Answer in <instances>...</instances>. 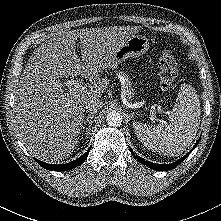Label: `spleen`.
<instances>
[{
    "label": "spleen",
    "mask_w": 221,
    "mask_h": 221,
    "mask_svg": "<svg viewBox=\"0 0 221 221\" xmlns=\"http://www.w3.org/2000/svg\"><path fill=\"white\" fill-rule=\"evenodd\" d=\"M199 97L189 84H182L169 121L156 126L134 123L142 144L153 152L169 156L182 154L193 142L200 123Z\"/></svg>",
    "instance_id": "3e777b00"
}]
</instances>
